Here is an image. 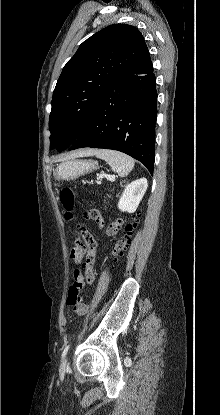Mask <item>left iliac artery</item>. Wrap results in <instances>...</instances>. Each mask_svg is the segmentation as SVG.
Segmentation results:
<instances>
[{
  "mask_svg": "<svg viewBox=\"0 0 220 415\" xmlns=\"http://www.w3.org/2000/svg\"><path fill=\"white\" fill-rule=\"evenodd\" d=\"M68 350H69V345H67V346L64 348V350H63V352H62V358H64V357L66 356V354H67Z\"/></svg>",
  "mask_w": 220,
  "mask_h": 415,
  "instance_id": "obj_1",
  "label": "left iliac artery"
}]
</instances>
